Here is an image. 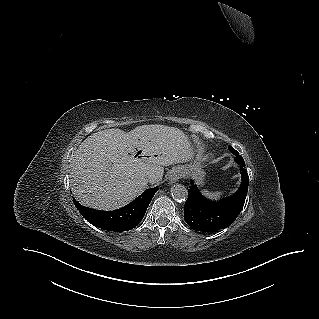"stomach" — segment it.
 <instances>
[{
  "instance_id": "0dacf381",
  "label": "stomach",
  "mask_w": 319,
  "mask_h": 319,
  "mask_svg": "<svg viewBox=\"0 0 319 319\" xmlns=\"http://www.w3.org/2000/svg\"><path fill=\"white\" fill-rule=\"evenodd\" d=\"M179 169L183 176L192 175L196 179L198 185H204L205 172L198 163H190L185 166H180Z\"/></svg>"
}]
</instances>
